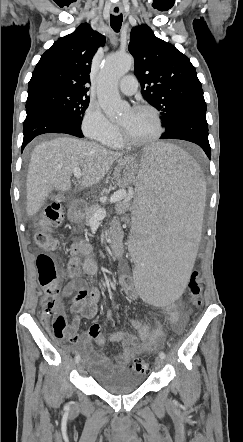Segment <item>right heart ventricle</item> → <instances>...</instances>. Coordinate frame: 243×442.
I'll use <instances>...</instances> for the list:
<instances>
[{"label": "right heart ventricle", "instance_id": "right-heart-ventricle-1", "mask_svg": "<svg viewBox=\"0 0 243 442\" xmlns=\"http://www.w3.org/2000/svg\"><path fill=\"white\" fill-rule=\"evenodd\" d=\"M107 144L110 145V146H112V147H116V148H119V147H122V146H123V143L121 142L118 133H117L112 139H110V140L107 142Z\"/></svg>", "mask_w": 243, "mask_h": 442}]
</instances>
